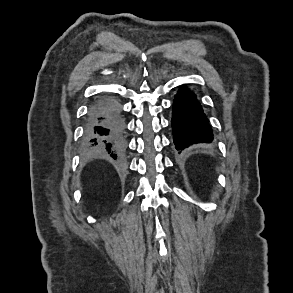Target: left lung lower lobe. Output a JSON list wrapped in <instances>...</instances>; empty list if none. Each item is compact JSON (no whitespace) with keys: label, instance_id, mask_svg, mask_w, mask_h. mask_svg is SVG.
<instances>
[{"label":"left lung lower lobe","instance_id":"left-lung-lower-lobe-1","mask_svg":"<svg viewBox=\"0 0 293 293\" xmlns=\"http://www.w3.org/2000/svg\"><path fill=\"white\" fill-rule=\"evenodd\" d=\"M171 123L177 150L196 143H210L214 139L201 105L185 85L175 96Z\"/></svg>","mask_w":293,"mask_h":293}]
</instances>
